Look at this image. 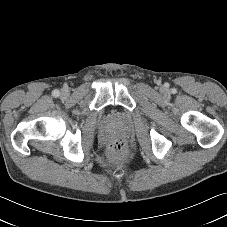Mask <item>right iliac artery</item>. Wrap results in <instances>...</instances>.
<instances>
[{"instance_id":"obj_1","label":"right iliac artery","mask_w":227,"mask_h":227,"mask_svg":"<svg viewBox=\"0 0 227 227\" xmlns=\"http://www.w3.org/2000/svg\"><path fill=\"white\" fill-rule=\"evenodd\" d=\"M52 95H53L54 97H58V96L60 95L59 90H54V91L52 92Z\"/></svg>"}]
</instances>
